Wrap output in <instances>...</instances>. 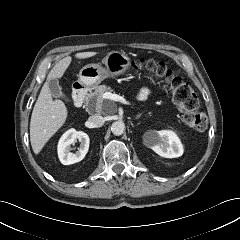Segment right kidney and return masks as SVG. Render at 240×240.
<instances>
[{
  "label": "right kidney",
  "instance_id": "1",
  "mask_svg": "<svg viewBox=\"0 0 240 240\" xmlns=\"http://www.w3.org/2000/svg\"><path fill=\"white\" fill-rule=\"evenodd\" d=\"M79 140L80 147L75 153L70 152V145ZM89 136L83 131L69 129L66 131L58 143V157L62 164L70 165L81 161L89 149Z\"/></svg>",
  "mask_w": 240,
  "mask_h": 240
}]
</instances>
